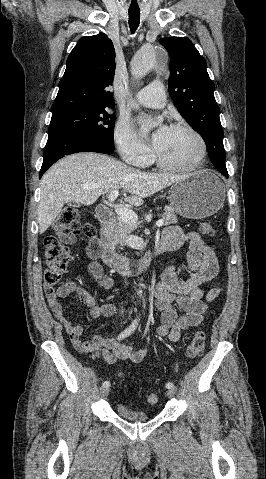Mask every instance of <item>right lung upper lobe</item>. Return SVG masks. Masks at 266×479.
I'll use <instances>...</instances> for the list:
<instances>
[{
  "mask_svg": "<svg viewBox=\"0 0 266 479\" xmlns=\"http://www.w3.org/2000/svg\"><path fill=\"white\" fill-rule=\"evenodd\" d=\"M114 61V46L106 34L82 37L67 58L52 113L114 107L107 90L115 73Z\"/></svg>",
  "mask_w": 266,
  "mask_h": 479,
  "instance_id": "obj_1",
  "label": "right lung upper lobe"
}]
</instances>
